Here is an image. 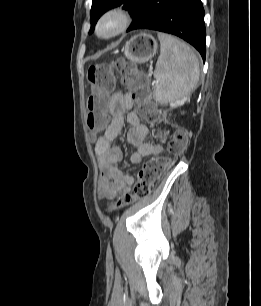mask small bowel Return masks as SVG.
I'll return each instance as SVG.
<instances>
[{"mask_svg": "<svg viewBox=\"0 0 261 306\" xmlns=\"http://www.w3.org/2000/svg\"><path fill=\"white\" fill-rule=\"evenodd\" d=\"M133 100L129 94L115 92L109 101V113L111 121L102 136L96 143V153L100 165L99 189L105 199H113L119 193L128 192L135 178L118 168L123 161L122 150L114 145L124 125L126 115L129 129L127 131L128 142L135 147L130 155L132 164H139L143 159L162 152L160 145H153L146 139L150 133L148 126L140 121L137 113L131 111Z\"/></svg>", "mask_w": 261, "mask_h": 306, "instance_id": "obj_1", "label": "small bowel"}]
</instances>
